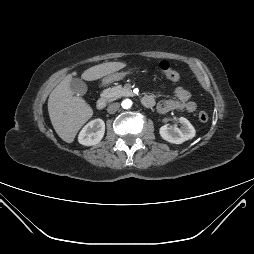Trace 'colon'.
Segmentation results:
<instances>
[{
	"label": "colon",
	"mask_w": 254,
	"mask_h": 254,
	"mask_svg": "<svg viewBox=\"0 0 254 254\" xmlns=\"http://www.w3.org/2000/svg\"><path fill=\"white\" fill-rule=\"evenodd\" d=\"M158 68L168 80L174 83H177L181 80L180 74L176 70L172 69L167 61H160L158 63ZM198 118L201 122L205 123L208 121L209 116L207 112L202 110L198 113Z\"/></svg>",
	"instance_id": "colon-1"
}]
</instances>
